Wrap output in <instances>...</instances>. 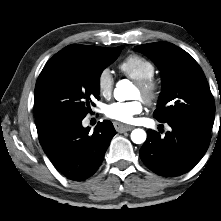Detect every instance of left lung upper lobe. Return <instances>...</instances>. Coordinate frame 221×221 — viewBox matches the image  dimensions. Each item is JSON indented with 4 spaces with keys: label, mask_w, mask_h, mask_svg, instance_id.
I'll use <instances>...</instances> for the list:
<instances>
[{
    "label": "left lung upper lobe",
    "mask_w": 221,
    "mask_h": 221,
    "mask_svg": "<svg viewBox=\"0 0 221 221\" xmlns=\"http://www.w3.org/2000/svg\"><path fill=\"white\" fill-rule=\"evenodd\" d=\"M161 71L162 92L153 116L159 122L188 120L211 131L215 102L198 63L183 49L168 42L135 47Z\"/></svg>",
    "instance_id": "1"
}]
</instances>
